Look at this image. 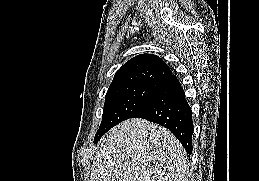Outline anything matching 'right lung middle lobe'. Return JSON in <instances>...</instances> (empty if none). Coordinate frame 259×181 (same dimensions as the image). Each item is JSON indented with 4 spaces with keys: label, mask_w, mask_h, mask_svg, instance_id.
I'll return each instance as SVG.
<instances>
[{
    "label": "right lung middle lobe",
    "mask_w": 259,
    "mask_h": 181,
    "mask_svg": "<svg viewBox=\"0 0 259 181\" xmlns=\"http://www.w3.org/2000/svg\"><path fill=\"white\" fill-rule=\"evenodd\" d=\"M158 88L157 84H135L108 89L102 122L96 136H102L120 122L133 118L153 97Z\"/></svg>",
    "instance_id": "dd1d6c3e"
}]
</instances>
